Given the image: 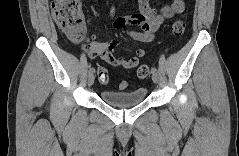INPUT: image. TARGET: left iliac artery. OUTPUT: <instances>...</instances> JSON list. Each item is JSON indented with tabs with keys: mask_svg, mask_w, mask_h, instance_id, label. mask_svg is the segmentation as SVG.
<instances>
[{
	"mask_svg": "<svg viewBox=\"0 0 239 156\" xmlns=\"http://www.w3.org/2000/svg\"><path fill=\"white\" fill-rule=\"evenodd\" d=\"M151 72H152V73H157V69H156L155 67H152V68H151Z\"/></svg>",
	"mask_w": 239,
	"mask_h": 156,
	"instance_id": "1",
	"label": "left iliac artery"
}]
</instances>
